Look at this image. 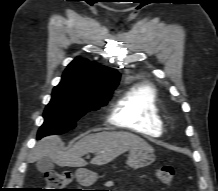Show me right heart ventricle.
<instances>
[{
  "instance_id": "e07e8e85",
  "label": "right heart ventricle",
  "mask_w": 218,
  "mask_h": 191,
  "mask_svg": "<svg viewBox=\"0 0 218 191\" xmlns=\"http://www.w3.org/2000/svg\"><path fill=\"white\" fill-rule=\"evenodd\" d=\"M111 121L142 135H160L164 118L156 89L151 84L132 87L116 102Z\"/></svg>"
}]
</instances>
